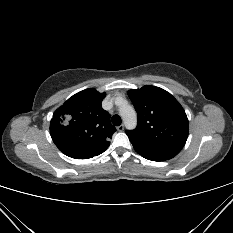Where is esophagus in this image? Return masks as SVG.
<instances>
[{
    "label": "esophagus",
    "mask_w": 233,
    "mask_h": 233,
    "mask_svg": "<svg viewBox=\"0 0 233 233\" xmlns=\"http://www.w3.org/2000/svg\"><path fill=\"white\" fill-rule=\"evenodd\" d=\"M117 130H118L119 132L124 131V125L121 124L120 126H118V127H117Z\"/></svg>",
    "instance_id": "obj_1"
}]
</instances>
